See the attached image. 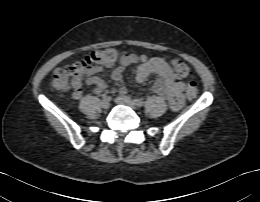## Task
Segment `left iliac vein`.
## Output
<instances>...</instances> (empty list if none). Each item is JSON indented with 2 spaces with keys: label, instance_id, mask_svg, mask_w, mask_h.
Here are the masks:
<instances>
[{
  "label": "left iliac vein",
  "instance_id": "4c4485c4",
  "mask_svg": "<svg viewBox=\"0 0 260 202\" xmlns=\"http://www.w3.org/2000/svg\"><path fill=\"white\" fill-rule=\"evenodd\" d=\"M115 102L118 103V104H122V105H126V106H129L131 107L132 109H136V105L134 103L133 100H131L129 97L127 96H118L116 99H115Z\"/></svg>",
  "mask_w": 260,
  "mask_h": 202
}]
</instances>
